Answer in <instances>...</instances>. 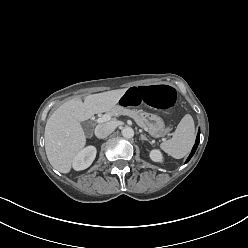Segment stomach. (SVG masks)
Here are the masks:
<instances>
[{
  "instance_id": "0dacf381",
  "label": "stomach",
  "mask_w": 248,
  "mask_h": 248,
  "mask_svg": "<svg viewBox=\"0 0 248 248\" xmlns=\"http://www.w3.org/2000/svg\"><path fill=\"white\" fill-rule=\"evenodd\" d=\"M135 119L138 122H141L144 119L143 125L147 127L148 132L152 137H164L170 131V128L165 126L163 119L158 115L138 111Z\"/></svg>"
}]
</instances>
